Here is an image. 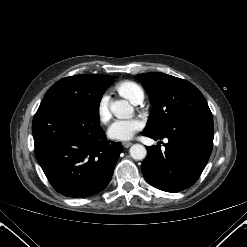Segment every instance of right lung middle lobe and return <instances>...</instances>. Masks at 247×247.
Returning <instances> with one entry per match:
<instances>
[{
	"mask_svg": "<svg viewBox=\"0 0 247 247\" xmlns=\"http://www.w3.org/2000/svg\"><path fill=\"white\" fill-rule=\"evenodd\" d=\"M111 83L101 81L96 74L66 77L46 92L42 102L64 101L99 112L101 98Z\"/></svg>",
	"mask_w": 247,
	"mask_h": 247,
	"instance_id": "obj_1",
	"label": "right lung middle lobe"
}]
</instances>
